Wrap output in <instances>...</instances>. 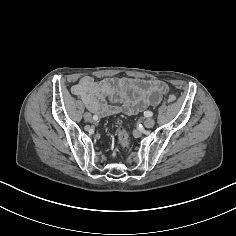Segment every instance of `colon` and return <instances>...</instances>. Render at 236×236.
<instances>
[{"instance_id": "1", "label": "colon", "mask_w": 236, "mask_h": 236, "mask_svg": "<svg viewBox=\"0 0 236 236\" xmlns=\"http://www.w3.org/2000/svg\"><path fill=\"white\" fill-rule=\"evenodd\" d=\"M178 100V96L176 94H169L167 96V101L169 103H176ZM115 135L117 139V144L122 151H128L131 146V140L128 132L122 126L121 123L116 124L115 126Z\"/></svg>"}]
</instances>
